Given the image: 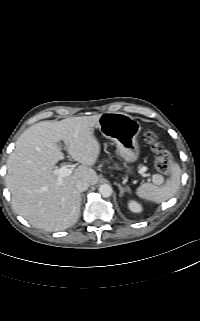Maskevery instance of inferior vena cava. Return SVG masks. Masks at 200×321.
<instances>
[{
	"instance_id": "obj_1",
	"label": "inferior vena cava",
	"mask_w": 200,
	"mask_h": 321,
	"mask_svg": "<svg viewBox=\"0 0 200 321\" xmlns=\"http://www.w3.org/2000/svg\"><path fill=\"white\" fill-rule=\"evenodd\" d=\"M89 186L90 184L86 179H80L76 182V188L79 192L87 190Z\"/></svg>"
}]
</instances>
